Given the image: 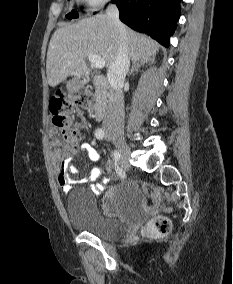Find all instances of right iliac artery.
<instances>
[{
    "label": "right iliac artery",
    "instance_id": "1",
    "mask_svg": "<svg viewBox=\"0 0 233 284\" xmlns=\"http://www.w3.org/2000/svg\"><path fill=\"white\" fill-rule=\"evenodd\" d=\"M95 137L99 140H102L105 137V131L101 128H98L95 131ZM114 157H120V155L117 151L114 152ZM117 168H119V167H117Z\"/></svg>",
    "mask_w": 233,
    "mask_h": 284
}]
</instances>
